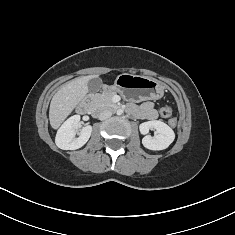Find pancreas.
Here are the masks:
<instances>
[{
	"mask_svg": "<svg viewBox=\"0 0 235 235\" xmlns=\"http://www.w3.org/2000/svg\"><path fill=\"white\" fill-rule=\"evenodd\" d=\"M115 95L113 91H104L102 94H95L92 101L99 108H116L117 104L113 102L112 98Z\"/></svg>",
	"mask_w": 235,
	"mask_h": 235,
	"instance_id": "cf45deb5",
	"label": "pancreas"
}]
</instances>
